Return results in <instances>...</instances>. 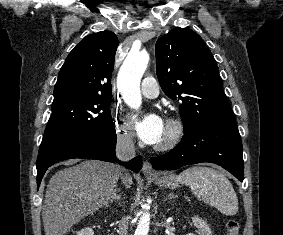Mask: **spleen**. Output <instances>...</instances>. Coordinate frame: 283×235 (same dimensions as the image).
Segmentation results:
<instances>
[{"label": "spleen", "mask_w": 283, "mask_h": 235, "mask_svg": "<svg viewBox=\"0 0 283 235\" xmlns=\"http://www.w3.org/2000/svg\"><path fill=\"white\" fill-rule=\"evenodd\" d=\"M177 180L189 186L197 198L215 207L222 214L233 216L237 213V195L230 181L219 171L194 166L181 172Z\"/></svg>", "instance_id": "3e777b00"}]
</instances>
